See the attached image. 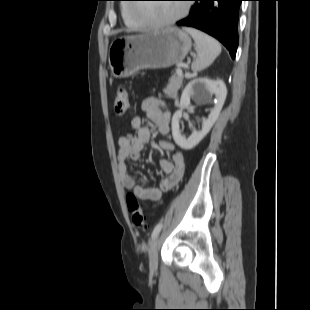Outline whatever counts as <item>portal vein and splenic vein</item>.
I'll return each instance as SVG.
<instances>
[{"label":"portal vein and splenic vein","instance_id":"obj_1","mask_svg":"<svg viewBox=\"0 0 310 310\" xmlns=\"http://www.w3.org/2000/svg\"><path fill=\"white\" fill-rule=\"evenodd\" d=\"M176 73H177L178 75H182V70H181V69H177V70H176ZM186 77L189 78L190 75H189V74H186Z\"/></svg>","mask_w":310,"mask_h":310}]
</instances>
